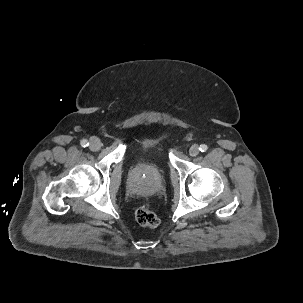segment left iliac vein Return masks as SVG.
Listing matches in <instances>:
<instances>
[{"label":"left iliac vein","instance_id":"1","mask_svg":"<svg viewBox=\"0 0 303 303\" xmlns=\"http://www.w3.org/2000/svg\"><path fill=\"white\" fill-rule=\"evenodd\" d=\"M199 153V147L198 145L194 144L189 149V155L190 156H196Z\"/></svg>","mask_w":303,"mask_h":303}]
</instances>
